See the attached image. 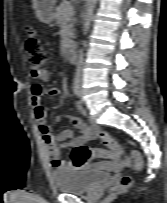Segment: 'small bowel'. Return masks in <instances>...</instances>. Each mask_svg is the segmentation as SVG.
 I'll return each instance as SVG.
<instances>
[{
    "label": "small bowel",
    "mask_w": 167,
    "mask_h": 203,
    "mask_svg": "<svg viewBox=\"0 0 167 203\" xmlns=\"http://www.w3.org/2000/svg\"><path fill=\"white\" fill-rule=\"evenodd\" d=\"M31 76L34 79H38L44 82L50 79V73L47 69H44L39 73L31 72ZM45 95L52 98H57L60 95V90L56 87L45 88L39 83H34L31 86V103L33 106L34 116L38 122L39 131L42 135L43 141L49 149L50 162L53 168H74L71 163L61 158V150L65 147H75L78 145H83L87 141L96 139L100 136L104 138L105 143L112 149V151L120 150V147L115 138L108 133L103 132L96 124L89 126L81 119L65 114H57L55 115L51 123L47 122L46 113L42 105V98ZM76 108L80 112L84 111L83 107L80 104H77ZM63 119H69L72 126L78 132H80L81 135L76 137L74 132L70 129L55 132V125ZM93 157L102 158V160L93 164L87 162L84 165L85 169L92 168L108 172H118L121 168L125 167L109 155H94Z\"/></svg>",
    "instance_id": "1"
}]
</instances>
